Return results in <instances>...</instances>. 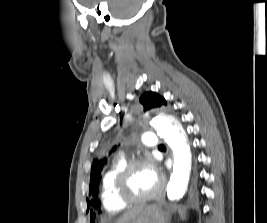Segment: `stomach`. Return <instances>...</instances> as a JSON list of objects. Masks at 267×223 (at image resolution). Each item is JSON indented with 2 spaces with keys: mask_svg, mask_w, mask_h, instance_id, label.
Instances as JSON below:
<instances>
[{
  "mask_svg": "<svg viewBox=\"0 0 267 223\" xmlns=\"http://www.w3.org/2000/svg\"><path fill=\"white\" fill-rule=\"evenodd\" d=\"M169 212L161 204L154 203L143 206L141 212L127 223H168Z\"/></svg>",
  "mask_w": 267,
  "mask_h": 223,
  "instance_id": "stomach-1",
  "label": "stomach"
}]
</instances>
